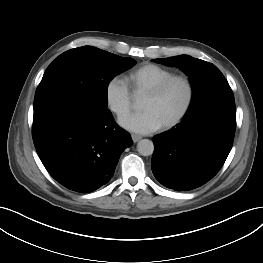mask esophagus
Here are the masks:
<instances>
[{
	"label": "esophagus",
	"instance_id": "1",
	"mask_svg": "<svg viewBox=\"0 0 263 263\" xmlns=\"http://www.w3.org/2000/svg\"><path fill=\"white\" fill-rule=\"evenodd\" d=\"M131 137L134 143L138 142L142 138L141 136L136 134H132Z\"/></svg>",
	"mask_w": 263,
	"mask_h": 263
}]
</instances>
